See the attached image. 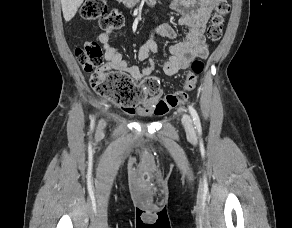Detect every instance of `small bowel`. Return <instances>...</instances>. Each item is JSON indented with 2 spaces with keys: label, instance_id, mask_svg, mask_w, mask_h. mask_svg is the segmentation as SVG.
<instances>
[{
  "label": "small bowel",
  "instance_id": "c3829d8e",
  "mask_svg": "<svg viewBox=\"0 0 292 228\" xmlns=\"http://www.w3.org/2000/svg\"><path fill=\"white\" fill-rule=\"evenodd\" d=\"M216 3L217 0H172L170 6L178 15V24L187 28L188 31L181 41L170 45L169 57L164 61L157 62L152 57L158 53L155 37L162 36L169 39L177 37L173 26L159 23L151 32L149 39L137 51L136 56L139 61H149V65L142 69L135 65H129L121 53L110 45V36L113 30L101 31L98 40L103 46L106 62L100 71H121L129 74L134 80L141 81L150 77L157 67H160L166 75L173 76L186 70L193 58H207L209 49L204 32ZM161 94L162 91L158 89L155 94L146 98L137 109L125 108L124 111L127 114L137 113L141 116L156 114L155 106Z\"/></svg>",
  "mask_w": 292,
  "mask_h": 228
}]
</instances>
